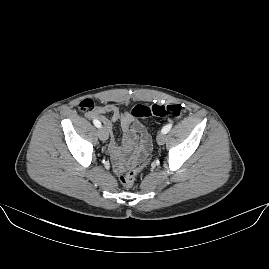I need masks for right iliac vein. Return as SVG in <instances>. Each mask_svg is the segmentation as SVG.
<instances>
[{"mask_svg": "<svg viewBox=\"0 0 269 269\" xmlns=\"http://www.w3.org/2000/svg\"><path fill=\"white\" fill-rule=\"evenodd\" d=\"M108 130L105 127H101L98 130V136L100 138V140L102 141H106L108 139Z\"/></svg>", "mask_w": 269, "mask_h": 269, "instance_id": "right-iliac-vein-1", "label": "right iliac vein"}]
</instances>
